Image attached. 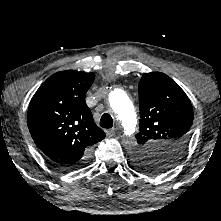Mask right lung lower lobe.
Segmentation results:
<instances>
[{
  "label": "right lung lower lobe",
  "mask_w": 221,
  "mask_h": 221,
  "mask_svg": "<svg viewBox=\"0 0 221 221\" xmlns=\"http://www.w3.org/2000/svg\"><path fill=\"white\" fill-rule=\"evenodd\" d=\"M85 162H86V159L79 161L77 163H73V164H58V163H53V162H52V164L60 169L70 170V169H74V168H77V167L83 165Z\"/></svg>",
  "instance_id": "obj_1"
}]
</instances>
